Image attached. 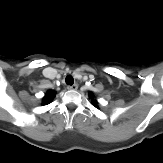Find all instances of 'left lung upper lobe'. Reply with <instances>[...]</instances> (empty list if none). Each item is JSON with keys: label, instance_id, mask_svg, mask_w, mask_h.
<instances>
[{"label": "left lung upper lobe", "instance_id": "obj_1", "mask_svg": "<svg viewBox=\"0 0 163 163\" xmlns=\"http://www.w3.org/2000/svg\"><path fill=\"white\" fill-rule=\"evenodd\" d=\"M91 98H93L91 95H90ZM95 102L97 103V101L95 100Z\"/></svg>", "mask_w": 163, "mask_h": 163}]
</instances>
